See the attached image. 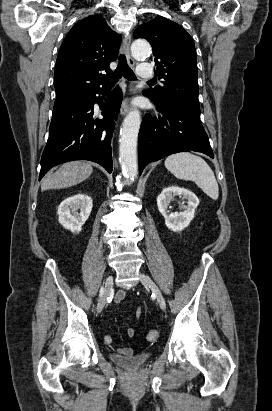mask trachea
Listing matches in <instances>:
<instances>
[{"label": "trachea", "instance_id": "trachea-1", "mask_svg": "<svg viewBox=\"0 0 272 411\" xmlns=\"http://www.w3.org/2000/svg\"><path fill=\"white\" fill-rule=\"evenodd\" d=\"M122 76L130 81L136 80V76L132 69L128 66L126 57L124 55L119 56V63L112 76V83H116ZM150 82H153V80L149 81V83Z\"/></svg>", "mask_w": 272, "mask_h": 411}]
</instances>
